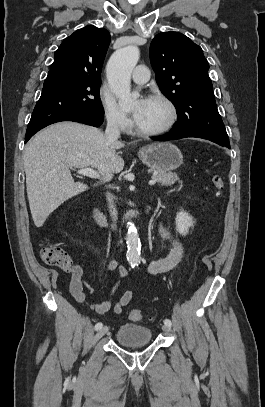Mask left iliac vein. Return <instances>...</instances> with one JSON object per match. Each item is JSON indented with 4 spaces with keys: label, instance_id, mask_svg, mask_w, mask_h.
<instances>
[{
    "label": "left iliac vein",
    "instance_id": "1",
    "mask_svg": "<svg viewBox=\"0 0 265 407\" xmlns=\"http://www.w3.org/2000/svg\"><path fill=\"white\" fill-rule=\"evenodd\" d=\"M162 330H163L164 332H166V333H169V332H171V327H170L169 325L164 324V325L162 326Z\"/></svg>",
    "mask_w": 265,
    "mask_h": 407
}]
</instances>
